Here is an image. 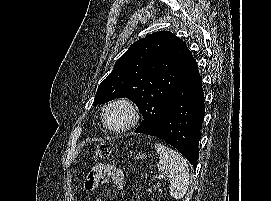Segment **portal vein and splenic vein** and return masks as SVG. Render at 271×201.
<instances>
[{
  "instance_id": "obj_1",
  "label": "portal vein and splenic vein",
  "mask_w": 271,
  "mask_h": 201,
  "mask_svg": "<svg viewBox=\"0 0 271 201\" xmlns=\"http://www.w3.org/2000/svg\"><path fill=\"white\" fill-rule=\"evenodd\" d=\"M157 178H158V179H163V178H164V176H163V175H161V174H159V175L157 176Z\"/></svg>"
}]
</instances>
